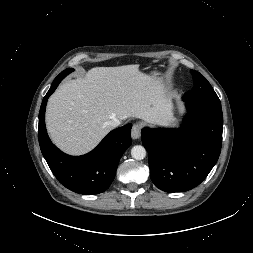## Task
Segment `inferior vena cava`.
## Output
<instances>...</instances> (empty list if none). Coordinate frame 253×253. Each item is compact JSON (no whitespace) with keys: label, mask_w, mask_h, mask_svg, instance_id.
I'll return each mask as SVG.
<instances>
[{"label":"inferior vena cava","mask_w":253,"mask_h":253,"mask_svg":"<svg viewBox=\"0 0 253 253\" xmlns=\"http://www.w3.org/2000/svg\"><path fill=\"white\" fill-rule=\"evenodd\" d=\"M121 124V121L118 120V119H113V120H110L108 122V125L111 127V128H115L117 126H119Z\"/></svg>","instance_id":"1"}]
</instances>
